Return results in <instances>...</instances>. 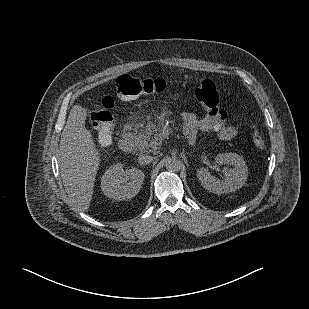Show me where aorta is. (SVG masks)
I'll use <instances>...</instances> for the list:
<instances>
[{
	"label": "aorta",
	"instance_id": "1",
	"mask_svg": "<svg viewBox=\"0 0 309 309\" xmlns=\"http://www.w3.org/2000/svg\"><path fill=\"white\" fill-rule=\"evenodd\" d=\"M164 163L166 169L170 172H178L182 167L181 161L176 157H167Z\"/></svg>",
	"mask_w": 309,
	"mask_h": 309
}]
</instances>
